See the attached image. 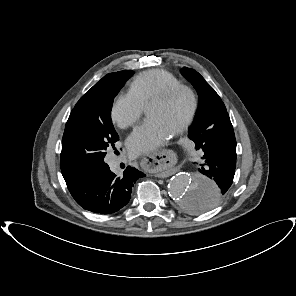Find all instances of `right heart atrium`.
<instances>
[{
    "label": "right heart atrium",
    "mask_w": 296,
    "mask_h": 296,
    "mask_svg": "<svg viewBox=\"0 0 296 296\" xmlns=\"http://www.w3.org/2000/svg\"><path fill=\"white\" fill-rule=\"evenodd\" d=\"M143 106L129 93L118 94L111 107L113 123L121 129L133 126L141 117Z\"/></svg>",
    "instance_id": "right-heart-atrium-1"
}]
</instances>
